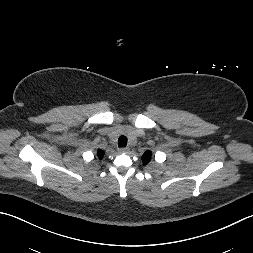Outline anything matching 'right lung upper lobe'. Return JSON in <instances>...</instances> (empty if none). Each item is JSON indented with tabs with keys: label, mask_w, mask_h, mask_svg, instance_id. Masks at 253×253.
<instances>
[{
	"label": "right lung upper lobe",
	"mask_w": 253,
	"mask_h": 253,
	"mask_svg": "<svg viewBox=\"0 0 253 253\" xmlns=\"http://www.w3.org/2000/svg\"><path fill=\"white\" fill-rule=\"evenodd\" d=\"M103 155H104V152L102 151V150H98V157L99 158H102L103 157Z\"/></svg>",
	"instance_id": "obj_1"
}]
</instances>
